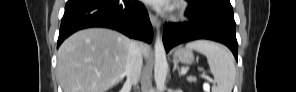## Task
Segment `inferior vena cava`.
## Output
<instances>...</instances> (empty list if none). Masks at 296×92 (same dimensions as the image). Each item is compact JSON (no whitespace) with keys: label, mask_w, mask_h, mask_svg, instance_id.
I'll list each match as a JSON object with an SVG mask.
<instances>
[{"label":"inferior vena cava","mask_w":296,"mask_h":92,"mask_svg":"<svg viewBox=\"0 0 296 92\" xmlns=\"http://www.w3.org/2000/svg\"><path fill=\"white\" fill-rule=\"evenodd\" d=\"M142 67V51L139 41L131 40L129 54L126 61L125 74L126 82L129 85H136L139 81Z\"/></svg>","instance_id":"1"}]
</instances>
